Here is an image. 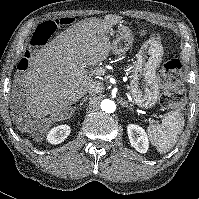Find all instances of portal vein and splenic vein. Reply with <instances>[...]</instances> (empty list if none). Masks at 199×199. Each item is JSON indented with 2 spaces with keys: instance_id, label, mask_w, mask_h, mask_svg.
<instances>
[{
  "instance_id": "18ae733b",
  "label": "portal vein and splenic vein",
  "mask_w": 199,
  "mask_h": 199,
  "mask_svg": "<svg viewBox=\"0 0 199 199\" xmlns=\"http://www.w3.org/2000/svg\"><path fill=\"white\" fill-rule=\"evenodd\" d=\"M84 67H86V66H82V68H84ZM91 73H92V75L93 74H95V75H104L105 71L102 68L96 67L94 69H91ZM151 122H152V120H151Z\"/></svg>"
}]
</instances>
